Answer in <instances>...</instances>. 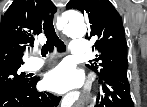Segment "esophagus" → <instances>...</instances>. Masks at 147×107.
Masks as SVG:
<instances>
[{
    "label": "esophagus",
    "instance_id": "esophagus-1",
    "mask_svg": "<svg viewBox=\"0 0 147 107\" xmlns=\"http://www.w3.org/2000/svg\"><path fill=\"white\" fill-rule=\"evenodd\" d=\"M60 18V11L58 10L55 14V20H58ZM87 103H89L90 106L93 105L94 99L93 98H88Z\"/></svg>",
    "mask_w": 147,
    "mask_h": 107
}]
</instances>
